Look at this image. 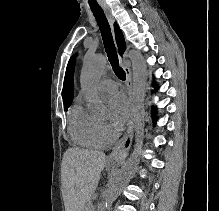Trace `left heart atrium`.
<instances>
[{"mask_svg":"<svg viewBox=\"0 0 219 211\" xmlns=\"http://www.w3.org/2000/svg\"><path fill=\"white\" fill-rule=\"evenodd\" d=\"M108 107L112 125L116 128H121L130 113L127 100L122 95H115L109 100Z\"/></svg>","mask_w":219,"mask_h":211,"instance_id":"1","label":"left heart atrium"}]
</instances>
